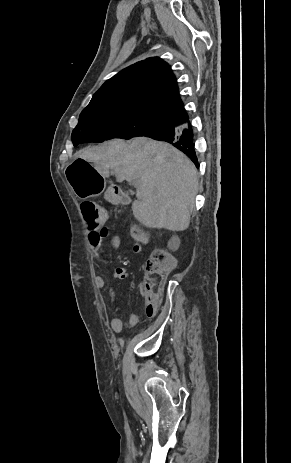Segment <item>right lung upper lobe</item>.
I'll return each instance as SVG.
<instances>
[{"instance_id":"obj_1","label":"right lung upper lobe","mask_w":291,"mask_h":463,"mask_svg":"<svg viewBox=\"0 0 291 463\" xmlns=\"http://www.w3.org/2000/svg\"><path fill=\"white\" fill-rule=\"evenodd\" d=\"M85 109L141 112L189 122L170 66L158 57L137 62L107 80Z\"/></svg>"}]
</instances>
